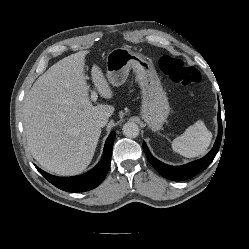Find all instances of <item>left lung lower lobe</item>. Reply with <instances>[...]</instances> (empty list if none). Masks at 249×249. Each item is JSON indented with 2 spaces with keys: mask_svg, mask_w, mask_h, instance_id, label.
<instances>
[{
  "mask_svg": "<svg viewBox=\"0 0 249 249\" xmlns=\"http://www.w3.org/2000/svg\"><path fill=\"white\" fill-rule=\"evenodd\" d=\"M220 106L218 109V136L215 141V144L211 151L203 158L190 162L186 165L182 166H170L167 164L162 163L161 161L157 160L154 158L151 153L148 150V147L145 143H143V149L144 152L150 161V163L154 166V168L164 177L174 180V181H181V180H186L189 179L195 175H197L199 172L203 171L206 169L210 163L213 161L215 158L220 144L222 140V122H221V115H220Z\"/></svg>",
  "mask_w": 249,
  "mask_h": 249,
  "instance_id": "1",
  "label": "left lung lower lobe"
}]
</instances>
